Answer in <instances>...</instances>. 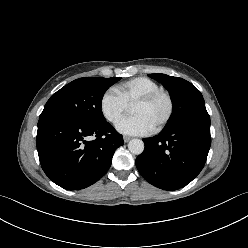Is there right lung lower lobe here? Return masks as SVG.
<instances>
[{"mask_svg":"<svg viewBox=\"0 0 248 248\" xmlns=\"http://www.w3.org/2000/svg\"><path fill=\"white\" fill-rule=\"evenodd\" d=\"M96 137L89 140L90 137ZM37 151L51 181L67 190L86 188L109 169L123 137L108 122L89 123L66 115L40 118Z\"/></svg>","mask_w":248,"mask_h":248,"instance_id":"98d812e1","label":"right lung lower lobe"}]
</instances>
